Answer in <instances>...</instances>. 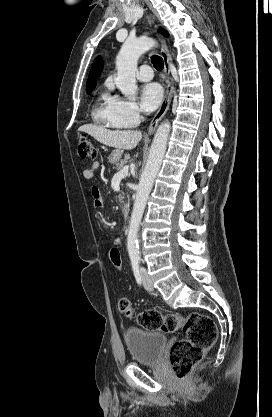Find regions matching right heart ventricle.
Returning a JSON list of instances; mask_svg holds the SVG:
<instances>
[{
    "label": "right heart ventricle",
    "mask_w": 272,
    "mask_h": 417,
    "mask_svg": "<svg viewBox=\"0 0 272 417\" xmlns=\"http://www.w3.org/2000/svg\"><path fill=\"white\" fill-rule=\"evenodd\" d=\"M113 100L108 91L101 93L99 102L93 111L94 120L99 124L113 129L127 128L128 126L116 117L113 110Z\"/></svg>",
    "instance_id": "right-heart-ventricle-1"
}]
</instances>
